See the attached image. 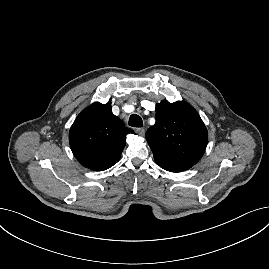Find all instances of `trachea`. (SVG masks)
Listing matches in <instances>:
<instances>
[{"label": "trachea", "instance_id": "3493384b", "mask_svg": "<svg viewBox=\"0 0 269 269\" xmlns=\"http://www.w3.org/2000/svg\"><path fill=\"white\" fill-rule=\"evenodd\" d=\"M128 124H129V126L140 128L143 126V121L139 115L132 114L129 118Z\"/></svg>", "mask_w": 269, "mask_h": 269}]
</instances>
